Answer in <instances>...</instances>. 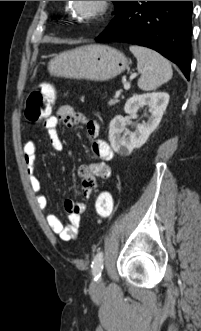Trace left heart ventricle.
I'll return each instance as SVG.
<instances>
[{
	"label": "left heart ventricle",
	"instance_id": "obj_1",
	"mask_svg": "<svg viewBox=\"0 0 201 331\" xmlns=\"http://www.w3.org/2000/svg\"><path fill=\"white\" fill-rule=\"evenodd\" d=\"M78 7L83 13H88L94 10V1H78Z\"/></svg>",
	"mask_w": 201,
	"mask_h": 331
}]
</instances>
